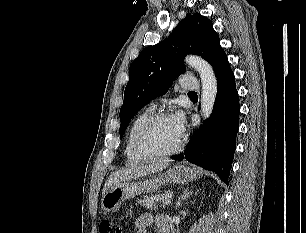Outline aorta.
Masks as SVG:
<instances>
[{
    "label": "aorta",
    "mask_w": 306,
    "mask_h": 233,
    "mask_svg": "<svg viewBox=\"0 0 306 233\" xmlns=\"http://www.w3.org/2000/svg\"><path fill=\"white\" fill-rule=\"evenodd\" d=\"M185 63L195 69L201 78V114L206 119L213 111L217 95V79L212 66L203 58L189 55L185 58Z\"/></svg>",
    "instance_id": "aorta-1"
}]
</instances>
